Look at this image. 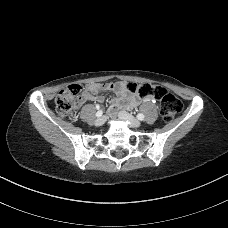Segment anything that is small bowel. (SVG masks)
<instances>
[{
    "instance_id": "obj_1",
    "label": "small bowel",
    "mask_w": 228,
    "mask_h": 228,
    "mask_svg": "<svg viewBox=\"0 0 228 228\" xmlns=\"http://www.w3.org/2000/svg\"><path fill=\"white\" fill-rule=\"evenodd\" d=\"M114 91L115 97L112 99L109 113L114 116L118 109L124 107L127 109H133L140 102L141 99L135 95L129 93L127 90V84L125 82L116 83H91L87 85L86 91L79 99V104H83L89 101L103 102L104 97L99 92ZM144 102H153L154 97H148L143 99Z\"/></svg>"
}]
</instances>
